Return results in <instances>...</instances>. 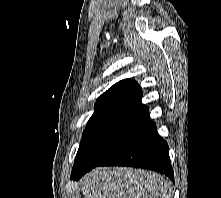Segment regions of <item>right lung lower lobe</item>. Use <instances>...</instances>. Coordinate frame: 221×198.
Wrapping results in <instances>:
<instances>
[{
	"label": "right lung lower lobe",
	"mask_w": 221,
	"mask_h": 198,
	"mask_svg": "<svg viewBox=\"0 0 221 198\" xmlns=\"http://www.w3.org/2000/svg\"><path fill=\"white\" fill-rule=\"evenodd\" d=\"M168 150L167 143L157 133L155 123L149 119L133 137L97 166L118 165L150 169L163 173L174 181Z\"/></svg>",
	"instance_id": "obj_1"
}]
</instances>
